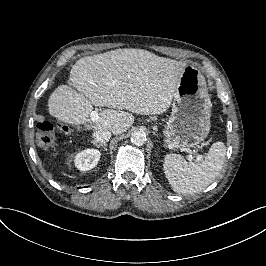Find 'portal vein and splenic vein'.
Instances as JSON below:
<instances>
[{
  "label": "portal vein and splenic vein",
  "instance_id": "18ae733b",
  "mask_svg": "<svg viewBox=\"0 0 266 266\" xmlns=\"http://www.w3.org/2000/svg\"><path fill=\"white\" fill-rule=\"evenodd\" d=\"M98 115H99V110L98 109L95 108L94 110H92L91 113H90L91 121L92 122L97 121ZM202 158H205V155H199V156H197V162L200 163V160ZM188 160L189 161H193V156H189Z\"/></svg>",
  "mask_w": 266,
  "mask_h": 266
}]
</instances>
